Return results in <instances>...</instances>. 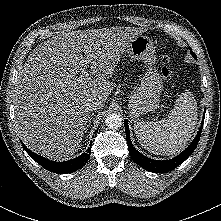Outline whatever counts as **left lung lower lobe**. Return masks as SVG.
<instances>
[{
	"instance_id": "left-lung-lower-lobe-1",
	"label": "left lung lower lobe",
	"mask_w": 221,
	"mask_h": 221,
	"mask_svg": "<svg viewBox=\"0 0 221 221\" xmlns=\"http://www.w3.org/2000/svg\"><path fill=\"white\" fill-rule=\"evenodd\" d=\"M204 117H205V115H204ZM204 117H203L201 127L197 133L196 138L193 140V142L178 156H176L173 159L165 160V161L153 160L151 158H148L134 148V146L132 145V142L130 140L128 120L125 119L124 126H125L126 139H127V144L129 147V152H130L131 158L140 167H142L150 172L167 173V172L175 169L182 162H184L195 150V148L199 142V139H200V135H201V131L203 128V123H204Z\"/></svg>"
}]
</instances>
